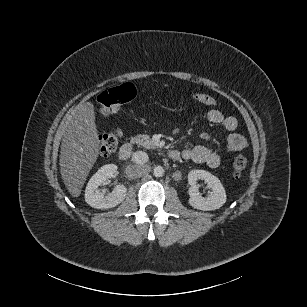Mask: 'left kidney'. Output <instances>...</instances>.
<instances>
[{
  "label": "left kidney",
  "instance_id": "5707ae66",
  "mask_svg": "<svg viewBox=\"0 0 307 307\" xmlns=\"http://www.w3.org/2000/svg\"><path fill=\"white\" fill-rule=\"evenodd\" d=\"M198 180H204L207 187L212 191L207 197H202L199 192ZM188 183L190 184L189 204L199 210L210 211L219 209L226 202V193L220 180L205 170H191L188 174Z\"/></svg>",
  "mask_w": 307,
  "mask_h": 307
}]
</instances>
